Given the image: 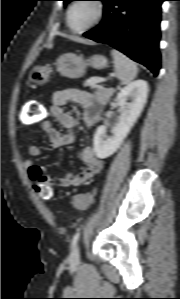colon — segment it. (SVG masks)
Masks as SVG:
<instances>
[{"label":"colon","instance_id":"1","mask_svg":"<svg viewBox=\"0 0 180 299\" xmlns=\"http://www.w3.org/2000/svg\"><path fill=\"white\" fill-rule=\"evenodd\" d=\"M48 116L45 105L37 102H29L26 107L25 117L28 122H38L45 120ZM34 189L43 199H51L53 197V186L51 182H37L34 184ZM73 204L78 209H86L90 204V196L81 194L73 199Z\"/></svg>","mask_w":180,"mask_h":299}]
</instances>
